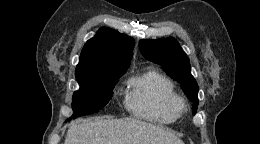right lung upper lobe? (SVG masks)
I'll return each mask as SVG.
<instances>
[{"label":"right lung upper lobe","mask_w":260,"mask_h":144,"mask_svg":"<svg viewBox=\"0 0 260 144\" xmlns=\"http://www.w3.org/2000/svg\"><path fill=\"white\" fill-rule=\"evenodd\" d=\"M135 41L110 28L102 27L84 45L75 75L127 70Z\"/></svg>","instance_id":"right-lung-upper-lobe-1"}]
</instances>
